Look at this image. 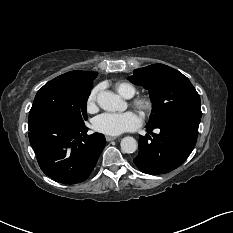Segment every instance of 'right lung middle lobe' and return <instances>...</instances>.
<instances>
[{
    "mask_svg": "<svg viewBox=\"0 0 233 233\" xmlns=\"http://www.w3.org/2000/svg\"><path fill=\"white\" fill-rule=\"evenodd\" d=\"M97 73L71 76L66 73L47 82L36 94L29 122L43 117H59L74 123L87 120L86 104Z\"/></svg>",
    "mask_w": 233,
    "mask_h": 233,
    "instance_id": "right-lung-middle-lobe-1",
    "label": "right lung middle lobe"
}]
</instances>
